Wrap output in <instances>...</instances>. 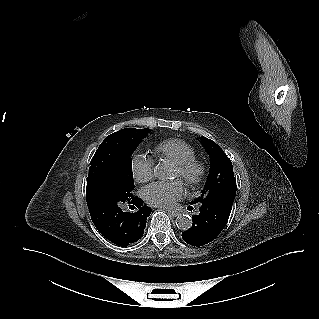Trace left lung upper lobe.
Returning <instances> with one entry per match:
<instances>
[{"instance_id": "obj_1", "label": "left lung upper lobe", "mask_w": 319, "mask_h": 319, "mask_svg": "<svg viewBox=\"0 0 319 319\" xmlns=\"http://www.w3.org/2000/svg\"><path fill=\"white\" fill-rule=\"evenodd\" d=\"M201 142L209 154L210 171L201 195L191 203H202L220 196L235 195L237 187L230 159L214 141L202 136Z\"/></svg>"}]
</instances>
